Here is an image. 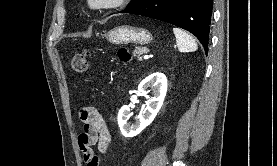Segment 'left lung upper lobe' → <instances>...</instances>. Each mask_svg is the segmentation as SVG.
Wrapping results in <instances>:
<instances>
[{"mask_svg": "<svg viewBox=\"0 0 277 166\" xmlns=\"http://www.w3.org/2000/svg\"><path fill=\"white\" fill-rule=\"evenodd\" d=\"M144 1L145 0H132L131 3L128 5V7L123 12H127V11L133 9L134 7L143 3Z\"/></svg>", "mask_w": 277, "mask_h": 166, "instance_id": "5c2ea615", "label": "left lung upper lobe"}]
</instances>
